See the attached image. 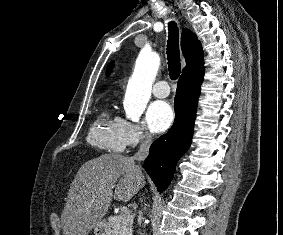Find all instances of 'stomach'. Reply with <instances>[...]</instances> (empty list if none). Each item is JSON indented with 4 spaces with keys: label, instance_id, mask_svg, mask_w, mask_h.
I'll list each match as a JSON object with an SVG mask.
<instances>
[{
    "label": "stomach",
    "instance_id": "1",
    "mask_svg": "<svg viewBox=\"0 0 283 235\" xmlns=\"http://www.w3.org/2000/svg\"><path fill=\"white\" fill-rule=\"evenodd\" d=\"M94 235H110V227L105 221H101L93 228Z\"/></svg>",
    "mask_w": 283,
    "mask_h": 235
}]
</instances>
